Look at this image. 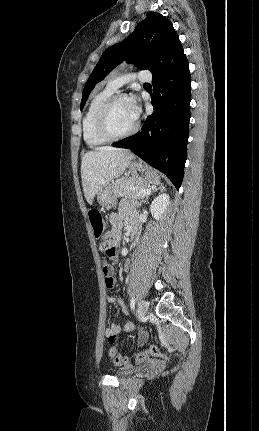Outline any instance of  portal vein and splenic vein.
I'll return each instance as SVG.
<instances>
[{
    "mask_svg": "<svg viewBox=\"0 0 259 431\" xmlns=\"http://www.w3.org/2000/svg\"><path fill=\"white\" fill-rule=\"evenodd\" d=\"M150 191H151V189H150V188L143 189V190H140V191L137 193V195H138V196H144V195L149 194V193H150Z\"/></svg>",
    "mask_w": 259,
    "mask_h": 431,
    "instance_id": "portal-vein-and-splenic-vein-1",
    "label": "portal vein and splenic vein"
}]
</instances>
